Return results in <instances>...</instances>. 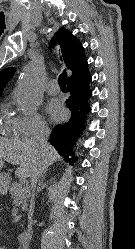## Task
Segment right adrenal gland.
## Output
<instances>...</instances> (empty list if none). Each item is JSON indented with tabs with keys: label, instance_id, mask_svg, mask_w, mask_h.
Segmentation results:
<instances>
[{
	"label": "right adrenal gland",
	"instance_id": "1",
	"mask_svg": "<svg viewBox=\"0 0 135 249\" xmlns=\"http://www.w3.org/2000/svg\"><path fill=\"white\" fill-rule=\"evenodd\" d=\"M44 179H45V176L41 175V178L39 180L38 187H37V193H39L41 191V189L46 186V183L43 182Z\"/></svg>",
	"mask_w": 135,
	"mask_h": 249
}]
</instances>
